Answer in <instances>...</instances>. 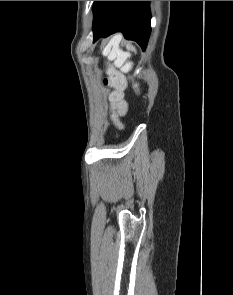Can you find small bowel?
I'll list each match as a JSON object with an SVG mask.
<instances>
[{
  "label": "small bowel",
  "mask_w": 233,
  "mask_h": 295,
  "mask_svg": "<svg viewBox=\"0 0 233 295\" xmlns=\"http://www.w3.org/2000/svg\"><path fill=\"white\" fill-rule=\"evenodd\" d=\"M112 102L114 105V108L117 110L118 114H123L126 110V103L123 100V95L120 91L115 92L112 97Z\"/></svg>",
  "instance_id": "c3829d8e"
}]
</instances>
